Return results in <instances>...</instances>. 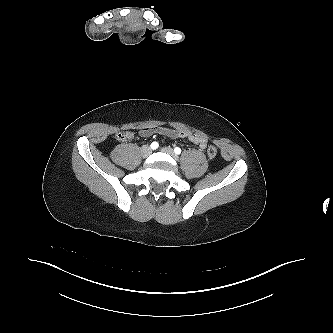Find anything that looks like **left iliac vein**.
Masks as SVG:
<instances>
[{
	"mask_svg": "<svg viewBox=\"0 0 333 333\" xmlns=\"http://www.w3.org/2000/svg\"><path fill=\"white\" fill-rule=\"evenodd\" d=\"M161 150H162L164 153H167V154L171 155V156H172L173 158H175V159L178 158V156L175 154V152L173 151V149L170 148V147H164V148H162Z\"/></svg>",
	"mask_w": 333,
	"mask_h": 333,
	"instance_id": "1",
	"label": "left iliac vein"
}]
</instances>
